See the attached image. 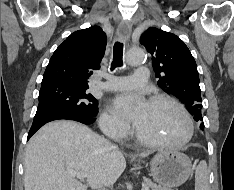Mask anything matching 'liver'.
I'll list each match as a JSON object with an SVG mask.
<instances>
[{
	"instance_id": "1",
	"label": "liver",
	"mask_w": 234,
	"mask_h": 190,
	"mask_svg": "<svg viewBox=\"0 0 234 190\" xmlns=\"http://www.w3.org/2000/svg\"><path fill=\"white\" fill-rule=\"evenodd\" d=\"M149 153H142L141 157ZM126 168L122 152L90 128L74 121L43 126L25 150V190H87L113 185ZM69 170L87 175L82 184Z\"/></svg>"
}]
</instances>
